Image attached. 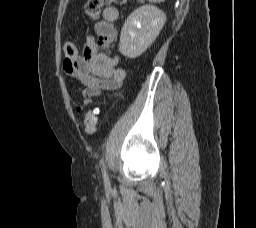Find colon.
Wrapping results in <instances>:
<instances>
[{
    "instance_id": "5ec220e1",
    "label": "colon",
    "mask_w": 256,
    "mask_h": 228,
    "mask_svg": "<svg viewBox=\"0 0 256 228\" xmlns=\"http://www.w3.org/2000/svg\"><path fill=\"white\" fill-rule=\"evenodd\" d=\"M127 0H88L86 4V12L88 16L95 20L98 18L102 7L109 5L111 3H118V4H125ZM64 53L66 59L69 61L74 60L77 55L78 51L75 45L67 41L64 44ZM97 123H98V109L89 110L86 113L84 126L86 133L92 135L97 130Z\"/></svg>"
}]
</instances>
